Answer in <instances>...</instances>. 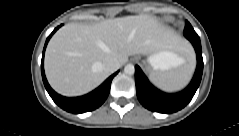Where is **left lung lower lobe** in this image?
Returning a JSON list of instances; mask_svg holds the SVG:
<instances>
[{
  "mask_svg": "<svg viewBox=\"0 0 239 136\" xmlns=\"http://www.w3.org/2000/svg\"><path fill=\"white\" fill-rule=\"evenodd\" d=\"M197 54V67L189 86L180 93L167 94L155 88L139 66H135V83L139 102L147 109L159 113H173L184 108L193 98L203 73V58L200 38L193 35L188 38Z\"/></svg>",
  "mask_w": 239,
  "mask_h": 136,
  "instance_id": "obj_1",
  "label": "left lung lower lobe"
}]
</instances>
